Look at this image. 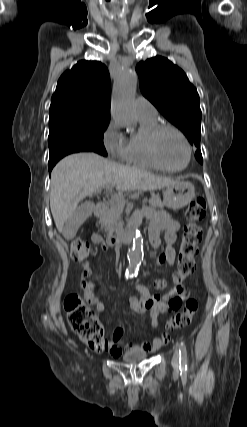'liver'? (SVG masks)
<instances>
[{"instance_id":"6515ba94","label":"liver","mask_w":247,"mask_h":427,"mask_svg":"<svg viewBox=\"0 0 247 427\" xmlns=\"http://www.w3.org/2000/svg\"><path fill=\"white\" fill-rule=\"evenodd\" d=\"M171 178L117 164L95 153H77L63 158L52 170L50 208L55 225L63 231L83 198L93 196L103 187L119 191H151L175 183Z\"/></svg>"}]
</instances>
